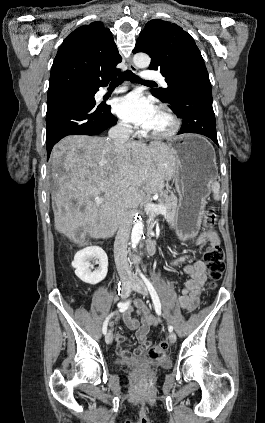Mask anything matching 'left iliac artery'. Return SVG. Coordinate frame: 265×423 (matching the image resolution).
<instances>
[{"instance_id":"obj_1","label":"left iliac artery","mask_w":265,"mask_h":423,"mask_svg":"<svg viewBox=\"0 0 265 423\" xmlns=\"http://www.w3.org/2000/svg\"><path fill=\"white\" fill-rule=\"evenodd\" d=\"M140 275H141L144 283L146 284V286H147V288L150 292L156 313L158 315H161V303H160V299L158 297V294H157L155 288L153 287L152 283L142 273H140ZM168 330H169V332H172L173 327L171 325H169Z\"/></svg>"}]
</instances>
